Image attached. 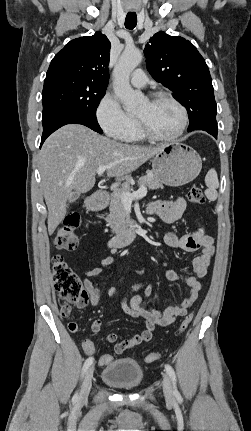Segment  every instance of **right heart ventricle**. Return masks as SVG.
<instances>
[{"label": "right heart ventricle", "instance_id": "right-heart-ventricle-1", "mask_svg": "<svg viewBox=\"0 0 251 431\" xmlns=\"http://www.w3.org/2000/svg\"><path fill=\"white\" fill-rule=\"evenodd\" d=\"M144 139L143 135L140 133L137 122L135 120V124L132 130L123 138L126 142H139Z\"/></svg>", "mask_w": 251, "mask_h": 431}]
</instances>
